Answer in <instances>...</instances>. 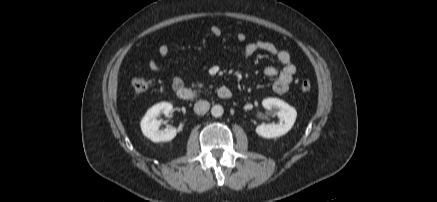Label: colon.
<instances>
[{
  "label": "colon",
  "instance_id": "obj_1",
  "mask_svg": "<svg viewBox=\"0 0 437 202\" xmlns=\"http://www.w3.org/2000/svg\"><path fill=\"white\" fill-rule=\"evenodd\" d=\"M132 87L136 94H145L152 86V81L146 77H135L132 79ZM312 84L308 79H304L300 83V89L303 92H309Z\"/></svg>",
  "mask_w": 437,
  "mask_h": 202
}]
</instances>
